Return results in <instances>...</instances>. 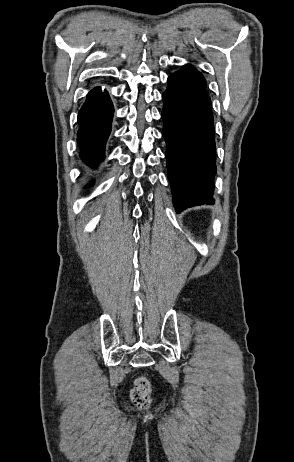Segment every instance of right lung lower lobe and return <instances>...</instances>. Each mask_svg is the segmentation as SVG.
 <instances>
[{"label": "right lung lower lobe", "instance_id": "1", "mask_svg": "<svg viewBox=\"0 0 294 462\" xmlns=\"http://www.w3.org/2000/svg\"><path fill=\"white\" fill-rule=\"evenodd\" d=\"M114 107L109 94L100 87L92 89L78 114L77 142L80 156L90 168L104 159V148L111 131Z\"/></svg>", "mask_w": 294, "mask_h": 462}]
</instances>
